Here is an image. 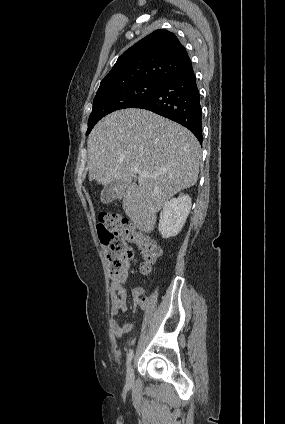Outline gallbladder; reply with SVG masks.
I'll return each instance as SVG.
<instances>
[{"instance_id": "obj_1", "label": "gallbladder", "mask_w": 285, "mask_h": 424, "mask_svg": "<svg viewBox=\"0 0 285 424\" xmlns=\"http://www.w3.org/2000/svg\"><path fill=\"white\" fill-rule=\"evenodd\" d=\"M126 183L122 180H114L107 185L101 192V202L104 204L111 203L125 189Z\"/></svg>"}]
</instances>
